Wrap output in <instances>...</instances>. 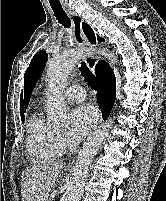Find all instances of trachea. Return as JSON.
Instances as JSON below:
<instances>
[{
	"mask_svg": "<svg viewBox=\"0 0 166 201\" xmlns=\"http://www.w3.org/2000/svg\"><path fill=\"white\" fill-rule=\"evenodd\" d=\"M51 8L58 22L61 25H63L65 28H70L71 21L69 17L67 16V14L65 13L64 9L62 7H55V6H51ZM80 71H81V75L88 82L91 88L97 91L100 85L97 79L94 77V75L90 72V70L86 66L85 62H81Z\"/></svg>",
	"mask_w": 166,
	"mask_h": 201,
	"instance_id": "3493384b",
	"label": "trachea"
}]
</instances>
